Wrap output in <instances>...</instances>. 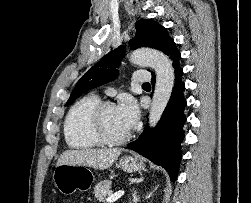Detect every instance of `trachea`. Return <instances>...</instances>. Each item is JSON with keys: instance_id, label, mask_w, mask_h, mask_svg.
I'll return each instance as SVG.
<instances>
[{"instance_id": "3493384b", "label": "trachea", "mask_w": 251, "mask_h": 203, "mask_svg": "<svg viewBox=\"0 0 251 203\" xmlns=\"http://www.w3.org/2000/svg\"><path fill=\"white\" fill-rule=\"evenodd\" d=\"M143 86H150V84L149 83H144Z\"/></svg>"}]
</instances>
